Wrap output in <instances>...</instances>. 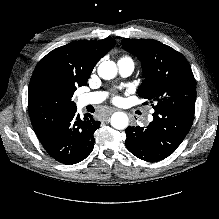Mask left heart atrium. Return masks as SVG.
Returning a JSON list of instances; mask_svg holds the SVG:
<instances>
[{
    "label": "left heart atrium",
    "instance_id": "obj_1",
    "mask_svg": "<svg viewBox=\"0 0 219 219\" xmlns=\"http://www.w3.org/2000/svg\"><path fill=\"white\" fill-rule=\"evenodd\" d=\"M119 100V97L118 96H114L113 97V101H118Z\"/></svg>",
    "mask_w": 219,
    "mask_h": 219
}]
</instances>
